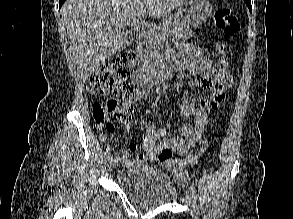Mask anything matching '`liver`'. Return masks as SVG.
Returning a JSON list of instances; mask_svg holds the SVG:
<instances>
[{
  "instance_id": "obj_1",
  "label": "liver",
  "mask_w": 293,
  "mask_h": 219,
  "mask_svg": "<svg viewBox=\"0 0 293 219\" xmlns=\"http://www.w3.org/2000/svg\"><path fill=\"white\" fill-rule=\"evenodd\" d=\"M185 0H67L61 15L77 72L86 80L121 47L141 16H168ZM146 23L143 22V26Z\"/></svg>"
}]
</instances>
